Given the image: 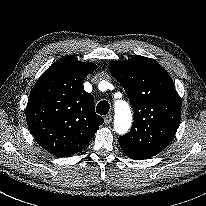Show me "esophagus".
<instances>
[{"mask_svg":"<svg viewBox=\"0 0 206 206\" xmlns=\"http://www.w3.org/2000/svg\"><path fill=\"white\" fill-rule=\"evenodd\" d=\"M111 121H112V115L109 114L104 117V122L106 125H109Z\"/></svg>","mask_w":206,"mask_h":206,"instance_id":"obj_1","label":"esophagus"}]
</instances>
